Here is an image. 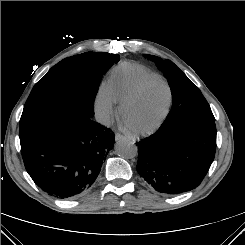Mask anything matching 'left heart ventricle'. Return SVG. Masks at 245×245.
Returning <instances> with one entry per match:
<instances>
[{
	"instance_id": "b2bd125f",
	"label": "left heart ventricle",
	"mask_w": 245,
	"mask_h": 245,
	"mask_svg": "<svg viewBox=\"0 0 245 245\" xmlns=\"http://www.w3.org/2000/svg\"><path fill=\"white\" fill-rule=\"evenodd\" d=\"M168 99L166 87L160 82L149 84L134 103L124 112L126 123L134 128L152 125L162 115Z\"/></svg>"
}]
</instances>
